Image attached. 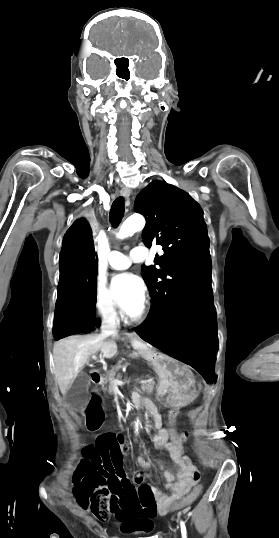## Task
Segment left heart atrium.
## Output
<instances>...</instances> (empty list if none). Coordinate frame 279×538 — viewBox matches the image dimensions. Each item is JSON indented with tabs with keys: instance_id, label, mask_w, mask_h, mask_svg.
I'll return each mask as SVG.
<instances>
[{
	"instance_id": "39dd6f15",
	"label": "left heart atrium",
	"mask_w": 279,
	"mask_h": 538,
	"mask_svg": "<svg viewBox=\"0 0 279 538\" xmlns=\"http://www.w3.org/2000/svg\"><path fill=\"white\" fill-rule=\"evenodd\" d=\"M112 289L125 312L138 310L145 300V285L141 278L132 273L116 275Z\"/></svg>"
}]
</instances>
